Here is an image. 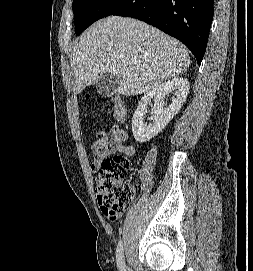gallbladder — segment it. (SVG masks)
<instances>
[{"instance_id": "bac80fb5", "label": "gallbladder", "mask_w": 253, "mask_h": 271, "mask_svg": "<svg viewBox=\"0 0 253 271\" xmlns=\"http://www.w3.org/2000/svg\"><path fill=\"white\" fill-rule=\"evenodd\" d=\"M120 81V76L107 74L97 84V91L103 97H110L116 94Z\"/></svg>"}]
</instances>
